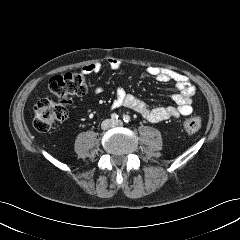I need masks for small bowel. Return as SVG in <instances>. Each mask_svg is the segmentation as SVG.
Listing matches in <instances>:
<instances>
[{"mask_svg": "<svg viewBox=\"0 0 240 240\" xmlns=\"http://www.w3.org/2000/svg\"><path fill=\"white\" fill-rule=\"evenodd\" d=\"M108 65L112 69H120L122 67V63L114 58L108 59ZM101 68L102 64L100 62H91L84 65L82 71L85 74H97L100 72ZM147 73L158 82L175 83L179 93L174 94L172 98L176 106L152 107L137 96L129 94L123 88L119 87L116 89L115 99L111 107L113 109L120 107L128 108L150 122H160L191 114V103L195 95V87L185 75L176 71L153 66L147 68ZM102 91V86H98L94 89L95 94H100Z\"/></svg>", "mask_w": 240, "mask_h": 240, "instance_id": "1", "label": "small bowel"}]
</instances>
